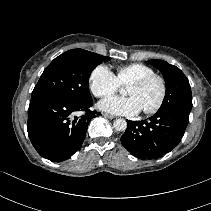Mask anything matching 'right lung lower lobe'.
<instances>
[{
    "mask_svg": "<svg viewBox=\"0 0 211 211\" xmlns=\"http://www.w3.org/2000/svg\"><path fill=\"white\" fill-rule=\"evenodd\" d=\"M92 101L77 104L53 97L31 98L27 131L36 151L53 162L71 157L84 141L89 121L99 112L91 111ZM84 115H73L78 112Z\"/></svg>",
    "mask_w": 211,
    "mask_h": 211,
    "instance_id": "1",
    "label": "right lung lower lobe"
}]
</instances>
